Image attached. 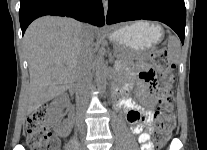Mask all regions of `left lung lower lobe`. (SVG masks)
Segmentation results:
<instances>
[{
  "label": "left lung lower lobe",
  "mask_w": 207,
  "mask_h": 150,
  "mask_svg": "<svg viewBox=\"0 0 207 150\" xmlns=\"http://www.w3.org/2000/svg\"><path fill=\"white\" fill-rule=\"evenodd\" d=\"M156 20L170 26L184 42V0H109L107 24L132 20Z\"/></svg>",
  "instance_id": "left-lung-lower-lobe-1"
}]
</instances>
